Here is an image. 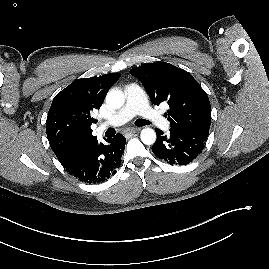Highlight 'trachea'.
Masks as SVG:
<instances>
[{
    "label": "trachea",
    "instance_id": "1",
    "mask_svg": "<svg viewBox=\"0 0 269 269\" xmlns=\"http://www.w3.org/2000/svg\"><path fill=\"white\" fill-rule=\"evenodd\" d=\"M135 124L137 126L141 127V126L149 125L150 122L147 120H144V119H138V120H136Z\"/></svg>",
    "mask_w": 269,
    "mask_h": 269
}]
</instances>
